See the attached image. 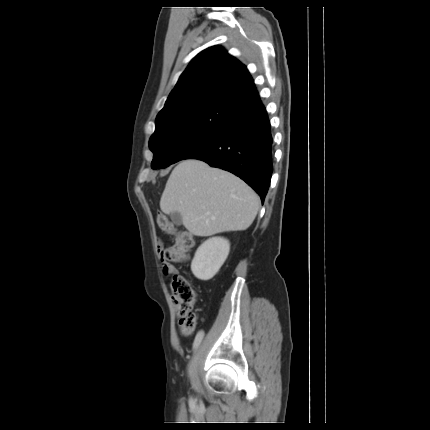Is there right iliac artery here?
<instances>
[{
	"instance_id": "1",
	"label": "right iliac artery",
	"mask_w": 430,
	"mask_h": 430,
	"mask_svg": "<svg viewBox=\"0 0 430 430\" xmlns=\"http://www.w3.org/2000/svg\"><path fill=\"white\" fill-rule=\"evenodd\" d=\"M202 338H203V331H202V330H199V331H198V334H197V336H196V338H195V340H194V343H193V348H194V349H196V348L199 346V344H200V342H201Z\"/></svg>"
}]
</instances>
